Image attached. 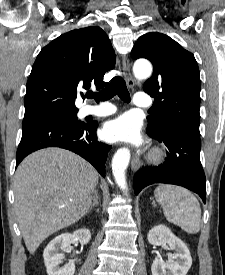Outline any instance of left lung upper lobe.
<instances>
[{
	"label": "left lung upper lobe",
	"mask_w": 225,
	"mask_h": 275,
	"mask_svg": "<svg viewBox=\"0 0 225 275\" xmlns=\"http://www.w3.org/2000/svg\"><path fill=\"white\" fill-rule=\"evenodd\" d=\"M131 56L146 58L154 66L143 87L155 99L147 130L161 133L175 128L199 133L201 81L194 55L170 37L152 32L137 40Z\"/></svg>",
	"instance_id": "left-lung-upper-lobe-1"
}]
</instances>
